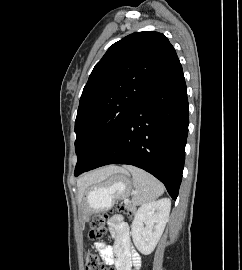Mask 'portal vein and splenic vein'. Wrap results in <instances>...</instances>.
Masks as SVG:
<instances>
[{
    "instance_id": "1",
    "label": "portal vein and splenic vein",
    "mask_w": 242,
    "mask_h": 270,
    "mask_svg": "<svg viewBox=\"0 0 242 270\" xmlns=\"http://www.w3.org/2000/svg\"><path fill=\"white\" fill-rule=\"evenodd\" d=\"M124 202H125V204H128L129 203V199H125Z\"/></svg>"
}]
</instances>
